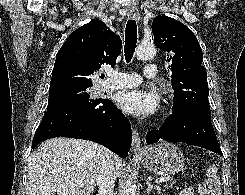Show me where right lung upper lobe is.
Listing matches in <instances>:
<instances>
[{
	"label": "right lung upper lobe",
	"instance_id": "right-lung-upper-lobe-1",
	"mask_svg": "<svg viewBox=\"0 0 245 195\" xmlns=\"http://www.w3.org/2000/svg\"><path fill=\"white\" fill-rule=\"evenodd\" d=\"M121 46L120 37L101 20L76 29L57 54L49 94L93 86L94 73L104 65L114 67Z\"/></svg>",
	"mask_w": 245,
	"mask_h": 195
}]
</instances>
